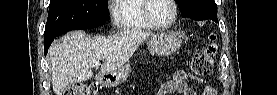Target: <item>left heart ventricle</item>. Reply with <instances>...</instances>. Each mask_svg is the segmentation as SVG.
Here are the masks:
<instances>
[{"label": "left heart ventricle", "instance_id": "obj_1", "mask_svg": "<svg viewBox=\"0 0 277 95\" xmlns=\"http://www.w3.org/2000/svg\"><path fill=\"white\" fill-rule=\"evenodd\" d=\"M173 11V6L168 0H153L149 9L152 18L160 23L168 22Z\"/></svg>", "mask_w": 277, "mask_h": 95}]
</instances>
